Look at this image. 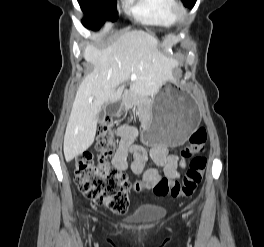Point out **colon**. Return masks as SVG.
I'll use <instances>...</instances> for the list:
<instances>
[{"instance_id":"obj_1","label":"colon","mask_w":264,"mask_h":247,"mask_svg":"<svg viewBox=\"0 0 264 247\" xmlns=\"http://www.w3.org/2000/svg\"><path fill=\"white\" fill-rule=\"evenodd\" d=\"M207 133L205 128L196 129L189 138L181 156L190 159L189 168L182 181L160 179L153 187L157 196L190 197L202 180L206 158L201 155L205 149ZM95 147L98 156L90 152L77 156L74 166V181L79 191L89 200L107 207L115 213H125L129 208L131 185L124 173L109 165V158L115 150V134L111 121L107 120L99 129ZM136 184L135 191H140Z\"/></svg>"}]
</instances>
